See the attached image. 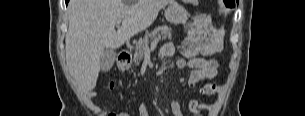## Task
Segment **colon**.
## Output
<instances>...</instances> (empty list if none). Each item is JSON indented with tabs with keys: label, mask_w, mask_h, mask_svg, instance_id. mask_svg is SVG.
<instances>
[{
	"label": "colon",
	"mask_w": 305,
	"mask_h": 116,
	"mask_svg": "<svg viewBox=\"0 0 305 116\" xmlns=\"http://www.w3.org/2000/svg\"><path fill=\"white\" fill-rule=\"evenodd\" d=\"M229 0H221L220 5L224 10H228L231 8V5L229 3ZM112 86V84H111ZM134 113L131 111H121V112H112L109 113L108 116H133Z\"/></svg>",
	"instance_id": "1"
}]
</instances>
